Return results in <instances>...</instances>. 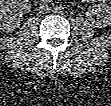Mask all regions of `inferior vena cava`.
Wrapping results in <instances>:
<instances>
[{
	"label": "inferior vena cava",
	"mask_w": 111,
	"mask_h": 106,
	"mask_svg": "<svg viewBox=\"0 0 111 106\" xmlns=\"http://www.w3.org/2000/svg\"><path fill=\"white\" fill-rule=\"evenodd\" d=\"M51 10H52V8L46 3L40 5V7H39V13H41V14L50 13Z\"/></svg>",
	"instance_id": "1"
}]
</instances>
